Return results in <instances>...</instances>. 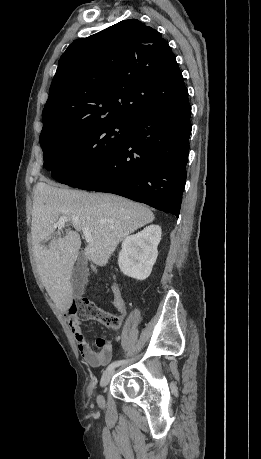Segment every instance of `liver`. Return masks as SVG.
Returning a JSON list of instances; mask_svg holds the SVG:
<instances>
[{"label":"liver","instance_id":"liver-1","mask_svg":"<svg viewBox=\"0 0 261 459\" xmlns=\"http://www.w3.org/2000/svg\"><path fill=\"white\" fill-rule=\"evenodd\" d=\"M62 216L70 218L75 231L68 228L64 233L63 227L56 231L54 224ZM154 218L149 208L121 196L38 182L34 190L31 235L36 246L38 273L56 306L65 311L72 303L71 274L81 247L79 232L83 227L92 231V241L84 253L96 272V266L106 265L125 237Z\"/></svg>","mask_w":261,"mask_h":459}]
</instances>
